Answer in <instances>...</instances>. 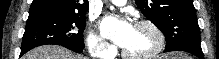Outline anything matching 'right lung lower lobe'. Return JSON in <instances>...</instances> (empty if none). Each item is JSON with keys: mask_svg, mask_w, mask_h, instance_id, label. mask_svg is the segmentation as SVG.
<instances>
[{"mask_svg": "<svg viewBox=\"0 0 219 59\" xmlns=\"http://www.w3.org/2000/svg\"><path fill=\"white\" fill-rule=\"evenodd\" d=\"M66 48H68V49H70V50H72L74 52H77V53H81L82 50H83V48L72 47V46H67ZM22 55H23V53L20 54V56H22Z\"/></svg>", "mask_w": 219, "mask_h": 59, "instance_id": "obj_1", "label": "right lung lower lobe"}]
</instances>
